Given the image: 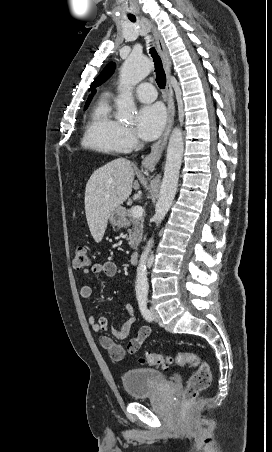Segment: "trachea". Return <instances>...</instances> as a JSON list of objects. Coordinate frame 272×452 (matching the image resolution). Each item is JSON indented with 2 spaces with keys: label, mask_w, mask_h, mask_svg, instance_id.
Returning <instances> with one entry per match:
<instances>
[{
  "label": "trachea",
  "mask_w": 272,
  "mask_h": 452,
  "mask_svg": "<svg viewBox=\"0 0 272 452\" xmlns=\"http://www.w3.org/2000/svg\"><path fill=\"white\" fill-rule=\"evenodd\" d=\"M129 20L132 22L136 21L135 16H130ZM150 54L153 57L154 63H155V72H156V81L159 86V88L163 89L166 85V74L164 72L162 62L160 57L158 56L156 50L152 47L150 49Z\"/></svg>",
  "instance_id": "obj_1"
}]
</instances>
